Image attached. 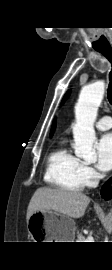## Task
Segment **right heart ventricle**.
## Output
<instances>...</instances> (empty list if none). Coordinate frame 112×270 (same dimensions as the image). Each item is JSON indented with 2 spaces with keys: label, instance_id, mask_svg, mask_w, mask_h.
Returning <instances> with one entry per match:
<instances>
[{
  "label": "right heart ventricle",
  "instance_id": "obj_1",
  "mask_svg": "<svg viewBox=\"0 0 112 270\" xmlns=\"http://www.w3.org/2000/svg\"><path fill=\"white\" fill-rule=\"evenodd\" d=\"M81 164V160L65 144H60L48 156L45 181L61 190L79 192L84 187Z\"/></svg>",
  "mask_w": 112,
  "mask_h": 270
}]
</instances>
